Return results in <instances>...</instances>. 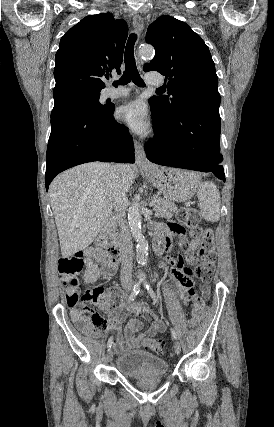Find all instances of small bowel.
I'll use <instances>...</instances> for the list:
<instances>
[{
	"instance_id": "c3829d8e",
	"label": "small bowel",
	"mask_w": 274,
	"mask_h": 427,
	"mask_svg": "<svg viewBox=\"0 0 274 427\" xmlns=\"http://www.w3.org/2000/svg\"><path fill=\"white\" fill-rule=\"evenodd\" d=\"M157 223L152 224V229L157 232ZM111 248L109 246L96 244L90 246L84 250V264L85 273L83 276L84 282L87 284L95 283L100 277H111L117 270L118 260L112 255ZM197 256H208L211 257L214 251H200L199 245H192L191 249L183 251L184 256L176 254L169 255L159 263L160 267L170 265L172 271L176 276V282L182 284L185 289H191L185 292L184 300L187 302H193L196 300V295L200 292V287L196 281L190 275V270L184 265H194L196 263ZM214 262L199 261L195 271L196 278H200L202 284H213L215 278L213 276L212 269L215 268ZM207 267L209 269H207ZM172 292L178 294L180 288L174 284L170 285ZM203 293L209 294V288L204 287ZM147 299H137L136 304H128L125 298L116 291H108L103 293L100 292L96 305L103 311L110 314L112 323L119 329L121 323L127 318L130 312L147 313L148 310ZM151 320V327L137 336V333L142 328L141 319L134 317L130 318L125 327L124 333L118 332L114 342L113 349L117 354H121L133 349H137L141 345V341L144 338H152L160 333H163L166 329L165 323L159 318L153 311H149ZM72 320L76 323L77 327L82 333L87 336H99L102 338L106 337V331L109 328L108 321L103 318L98 312H88L86 309L77 308L71 311Z\"/></svg>"
}]
</instances>
